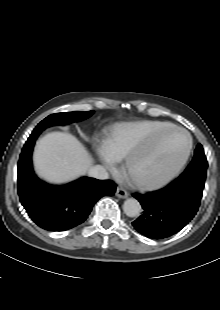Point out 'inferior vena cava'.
<instances>
[{
    "label": "inferior vena cava",
    "instance_id": "obj_1",
    "mask_svg": "<svg viewBox=\"0 0 220 310\" xmlns=\"http://www.w3.org/2000/svg\"><path fill=\"white\" fill-rule=\"evenodd\" d=\"M88 174L90 177H93L96 179H101V180L109 178V174H108L107 170L101 165L92 166L89 169Z\"/></svg>",
    "mask_w": 220,
    "mask_h": 310
}]
</instances>
